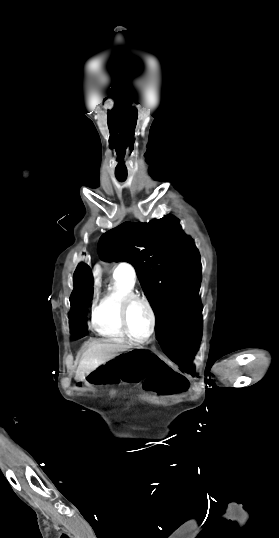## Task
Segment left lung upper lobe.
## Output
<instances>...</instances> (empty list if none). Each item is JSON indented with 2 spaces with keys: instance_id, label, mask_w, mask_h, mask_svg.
Listing matches in <instances>:
<instances>
[{
  "instance_id": "5c2ea615",
  "label": "left lung upper lobe",
  "mask_w": 279,
  "mask_h": 538,
  "mask_svg": "<svg viewBox=\"0 0 279 538\" xmlns=\"http://www.w3.org/2000/svg\"><path fill=\"white\" fill-rule=\"evenodd\" d=\"M98 253L104 261L135 267L156 315V332H181L202 322L200 254L173 216L125 222L100 238Z\"/></svg>"
}]
</instances>
